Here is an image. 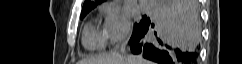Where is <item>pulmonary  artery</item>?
<instances>
[{"label":"pulmonary artery","mask_w":242,"mask_h":64,"mask_svg":"<svg viewBox=\"0 0 242 64\" xmlns=\"http://www.w3.org/2000/svg\"><path fill=\"white\" fill-rule=\"evenodd\" d=\"M141 9H142L143 11H148V10H149V6H148L146 3H142V4H141Z\"/></svg>","instance_id":"e3ab8cb5"}]
</instances>
